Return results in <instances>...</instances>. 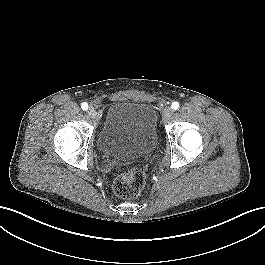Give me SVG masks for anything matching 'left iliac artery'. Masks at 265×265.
Returning a JSON list of instances; mask_svg holds the SVG:
<instances>
[{"label":"left iliac artery","instance_id":"1","mask_svg":"<svg viewBox=\"0 0 265 265\" xmlns=\"http://www.w3.org/2000/svg\"><path fill=\"white\" fill-rule=\"evenodd\" d=\"M171 108L173 110H177L179 108V103L178 102H173Z\"/></svg>","mask_w":265,"mask_h":265}]
</instances>
